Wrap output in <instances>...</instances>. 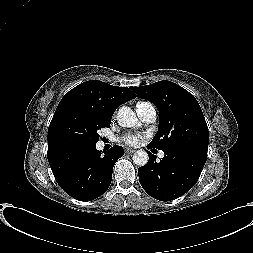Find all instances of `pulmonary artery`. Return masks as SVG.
<instances>
[{
    "label": "pulmonary artery",
    "instance_id": "e3ab8cb5",
    "mask_svg": "<svg viewBox=\"0 0 253 253\" xmlns=\"http://www.w3.org/2000/svg\"><path fill=\"white\" fill-rule=\"evenodd\" d=\"M138 117L145 123H153L157 118V109L150 102H139L135 106ZM159 157H164V153L161 152Z\"/></svg>",
    "mask_w": 253,
    "mask_h": 253
}]
</instances>
